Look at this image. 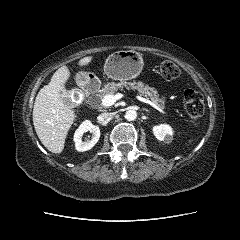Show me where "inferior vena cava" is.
<instances>
[{"label":"inferior vena cava","instance_id":"602c4592","mask_svg":"<svg viewBox=\"0 0 240 240\" xmlns=\"http://www.w3.org/2000/svg\"><path fill=\"white\" fill-rule=\"evenodd\" d=\"M101 118L106 120V119H111L113 116H114V113H102L101 115Z\"/></svg>","mask_w":240,"mask_h":240}]
</instances>
